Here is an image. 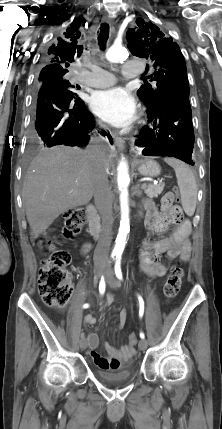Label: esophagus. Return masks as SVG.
Wrapping results in <instances>:
<instances>
[{"label": "esophagus", "mask_w": 222, "mask_h": 429, "mask_svg": "<svg viewBox=\"0 0 222 429\" xmlns=\"http://www.w3.org/2000/svg\"><path fill=\"white\" fill-rule=\"evenodd\" d=\"M102 22H104V23L105 22H110V19L107 16H104L102 18ZM113 140H114L115 145L120 150H123L125 148V142H124V140L120 136H118L117 134H113Z\"/></svg>", "instance_id": "1"}]
</instances>
